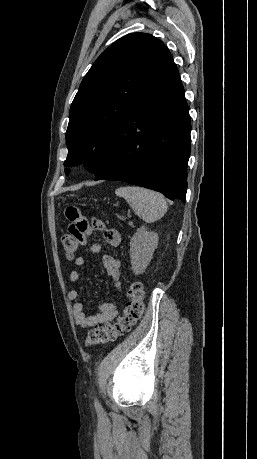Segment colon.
Instances as JSON below:
<instances>
[{"mask_svg":"<svg viewBox=\"0 0 257 459\" xmlns=\"http://www.w3.org/2000/svg\"><path fill=\"white\" fill-rule=\"evenodd\" d=\"M78 241H74L73 236H62V246L67 258H73L79 248ZM128 301L124 313L115 322L100 325L88 332L85 339L87 346H95L115 341L141 319L144 312L145 291L141 283H132L127 291Z\"/></svg>","mask_w":257,"mask_h":459,"instance_id":"colon-1","label":"colon"}]
</instances>
